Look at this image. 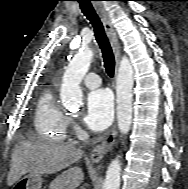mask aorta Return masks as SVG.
<instances>
[{
    "label": "aorta",
    "instance_id": "1",
    "mask_svg": "<svg viewBox=\"0 0 188 189\" xmlns=\"http://www.w3.org/2000/svg\"><path fill=\"white\" fill-rule=\"evenodd\" d=\"M93 52L81 48L69 63L61 84L60 98L68 110H77L82 105L80 83L88 72ZM133 67L127 57H122L116 78L117 123L122 134L128 133L132 122V88L134 83ZM121 162L116 157L110 163L102 189H119Z\"/></svg>",
    "mask_w": 188,
    "mask_h": 189
}]
</instances>
